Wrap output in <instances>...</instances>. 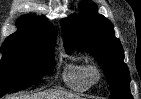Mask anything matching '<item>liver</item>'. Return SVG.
Masks as SVG:
<instances>
[{
  "mask_svg": "<svg viewBox=\"0 0 141 99\" xmlns=\"http://www.w3.org/2000/svg\"><path fill=\"white\" fill-rule=\"evenodd\" d=\"M8 99H80L79 96L59 90H45L26 97L12 96Z\"/></svg>",
  "mask_w": 141,
  "mask_h": 99,
  "instance_id": "obj_1",
  "label": "liver"
}]
</instances>
